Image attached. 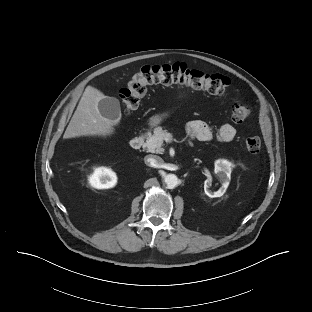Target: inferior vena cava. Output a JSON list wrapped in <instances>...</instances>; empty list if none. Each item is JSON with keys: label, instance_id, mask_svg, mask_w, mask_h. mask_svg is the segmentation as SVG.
<instances>
[{"label": "inferior vena cava", "instance_id": "obj_1", "mask_svg": "<svg viewBox=\"0 0 312 312\" xmlns=\"http://www.w3.org/2000/svg\"><path fill=\"white\" fill-rule=\"evenodd\" d=\"M145 164L150 167L159 168L163 164V159L156 155H148L144 158Z\"/></svg>", "mask_w": 312, "mask_h": 312}]
</instances>
